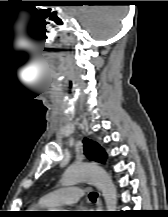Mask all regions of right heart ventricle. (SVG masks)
<instances>
[{"label":"right heart ventricle","mask_w":168,"mask_h":217,"mask_svg":"<svg viewBox=\"0 0 168 217\" xmlns=\"http://www.w3.org/2000/svg\"><path fill=\"white\" fill-rule=\"evenodd\" d=\"M47 206L40 200L39 202L31 205L29 207V212H31L32 214H34L35 212L41 211L43 209H45Z\"/></svg>","instance_id":"right-heart-ventricle-1"}]
</instances>
